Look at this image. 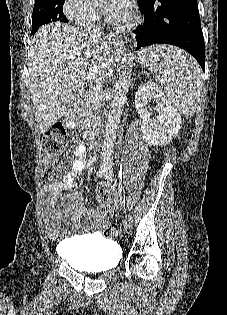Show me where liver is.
I'll use <instances>...</instances> for the list:
<instances>
[{"label":"liver","instance_id":"obj_1","mask_svg":"<svg viewBox=\"0 0 227 315\" xmlns=\"http://www.w3.org/2000/svg\"><path fill=\"white\" fill-rule=\"evenodd\" d=\"M116 55L101 36L68 24L55 22L38 29L31 40L28 66L41 133L74 106L86 74L88 79L101 77L114 65ZM75 61L80 64L74 65Z\"/></svg>","mask_w":227,"mask_h":315}]
</instances>
